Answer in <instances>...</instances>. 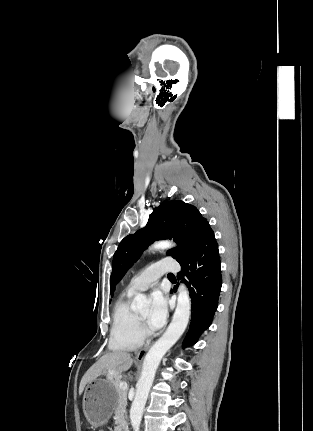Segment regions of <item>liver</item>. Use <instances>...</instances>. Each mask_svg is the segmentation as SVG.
I'll list each match as a JSON object with an SVG mask.
<instances>
[{"label":"liver","instance_id":"liver-1","mask_svg":"<svg viewBox=\"0 0 313 431\" xmlns=\"http://www.w3.org/2000/svg\"><path fill=\"white\" fill-rule=\"evenodd\" d=\"M133 364L131 355L127 352L115 351L102 356L93 364L82 377L79 386V395L82 394L85 386L102 374H107L108 378L119 376L127 371Z\"/></svg>","mask_w":313,"mask_h":431}]
</instances>
